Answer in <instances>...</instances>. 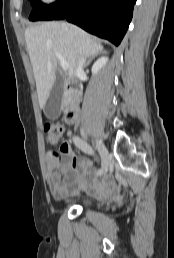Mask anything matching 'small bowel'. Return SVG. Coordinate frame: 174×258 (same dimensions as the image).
<instances>
[{"label":"small bowel","instance_id":"c3829d8e","mask_svg":"<svg viewBox=\"0 0 174 258\" xmlns=\"http://www.w3.org/2000/svg\"><path fill=\"white\" fill-rule=\"evenodd\" d=\"M64 145L67 147L65 154L69 168L64 170L60 161L52 157L51 154L48 161V183L50 192L55 198L65 196L72 186L85 185L89 179L93 182L92 192L95 195H106L113 191L112 183L108 179L96 180L98 172L91 161L76 156L69 142H65ZM61 171H64V177H62Z\"/></svg>","mask_w":174,"mask_h":258}]
</instances>
